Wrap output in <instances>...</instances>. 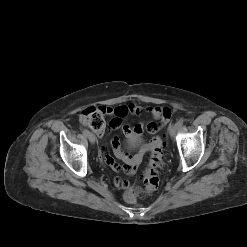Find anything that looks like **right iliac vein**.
Wrapping results in <instances>:
<instances>
[{"label":"right iliac vein","instance_id":"obj_1","mask_svg":"<svg viewBox=\"0 0 247 247\" xmlns=\"http://www.w3.org/2000/svg\"><path fill=\"white\" fill-rule=\"evenodd\" d=\"M87 137H88L89 141H90L92 144H94V143L96 142V137H95V135H94L93 133L89 132V134H88Z\"/></svg>","mask_w":247,"mask_h":247}]
</instances>
